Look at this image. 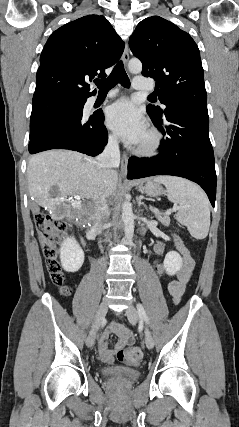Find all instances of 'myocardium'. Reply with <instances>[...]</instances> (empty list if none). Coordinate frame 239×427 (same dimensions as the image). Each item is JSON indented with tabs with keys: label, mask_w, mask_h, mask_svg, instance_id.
Masks as SVG:
<instances>
[{
	"label": "myocardium",
	"mask_w": 239,
	"mask_h": 427,
	"mask_svg": "<svg viewBox=\"0 0 239 427\" xmlns=\"http://www.w3.org/2000/svg\"><path fill=\"white\" fill-rule=\"evenodd\" d=\"M147 139L141 143H137L134 148L135 153L142 156H153L158 153L162 145L161 133L153 128L149 127L146 130Z\"/></svg>",
	"instance_id": "myocardium-1"
}]
</instances>
